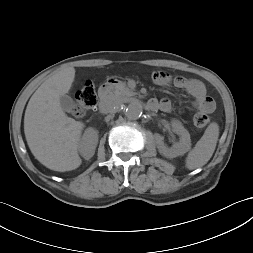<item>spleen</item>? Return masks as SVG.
<instances>
[{
    "instance_id": "1",
    "label": "spleen",
    "mask_w": 253,
    "mask_h": 253,
    "mask_svg": "<svg viewBox=\"0 0 253 253\" xmlns=\"http://www.w3.org/2000/svg\"><path fill=\"white\" fill-rule=\"evenodd\" d=\"M219 137V126L213 122L208 125L201 139L189 152L186 167L194 170L204 166L212 157Z\"/></svg>"
}]
</instances>
